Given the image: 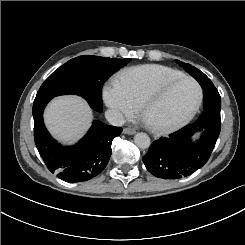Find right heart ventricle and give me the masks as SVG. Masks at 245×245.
<instances>
[{
  "mask_svg": "<svg viewBox=\"0 0 245 245\" xmlns=\"http://www.w3.org/2000/svg\"><path fill=\"white\" fill-rule=\"evenodd\" d=\"M182 73L160 65H144L133 68L116 77L112 85L122 90L131 102L137 106L143 91L159 79L181 76Z\"/></svg>",
  "mask_w": 245,
  "mask_h": 245,
  "instance_id": "e07e8e85",
  "label": "right heart ventricle"
}]
</instances>
